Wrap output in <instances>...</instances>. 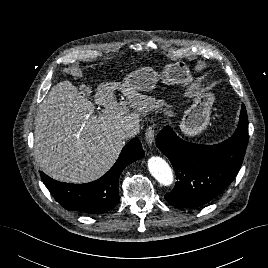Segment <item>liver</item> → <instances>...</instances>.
<instances>
[{
    "label": "liver",
    "mask_w": 268,
    "mask_h": 268,
    "mask_svg": "<svg viewBox=\"0 0 268 268\" xmlns=\"http://www.w3.org/2000/svg\"><path fill=\"white\" fill-rule=\"evenodd\" d=\"M119 88L126 102L118 103ZM95 105L70 81L57 83L38 108L35 118L34 155L41 170L68 183H88L104 175L117 160L125 143L118 132L139 125L141 112L157 103L154 98L117 83L97 88ZM128 105V106H127Z\"/></svg>",
    "instance_id": "obj_1"
}]
</instances>
